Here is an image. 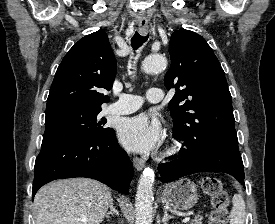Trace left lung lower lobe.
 <instances>
[{
  "label": "left lung lower lobe",
  "mask_w": 275,
  "mask_h": 224,
  "mask_svg": "<svg viewBox=\"0 0 275 224\" xmlns=\"http://www.w3.org/2000/svg\"><path fill=\"white\" fill-rule=\"evenodd\" d=\"M174 158L175 160L158 166L162 182H171L196 172L210 171L228 173L244 185L243 162L238 144H187V148H181Z\"/></svg>",
  "instance_id": "0a47b994"
}]
</instances>
